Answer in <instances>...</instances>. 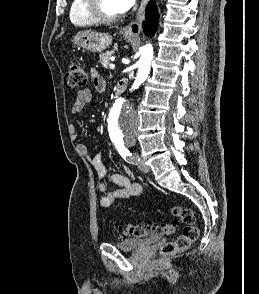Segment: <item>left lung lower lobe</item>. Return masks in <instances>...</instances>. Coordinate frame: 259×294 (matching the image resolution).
Listing matches in <instances>:
<instances>
[{
	"label": "left lung lower lobe",
	"instance_id": "obj_1",
	"mask_svg": "<svg viewBox=\"0 0 259 294\" xmlns=\"http://www.w3.org/2000/svg\"><path fill=\"white\" fill-rule=\"evenodd\" d=\"M158 9L154 2H149L146 13H145V22L143 23V28L145 34L153 35L157 29L158 25Z\"/></svg>",
	"mask_w": 259,
	"mask_h": 294
}]
</instances>
